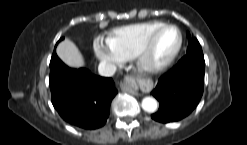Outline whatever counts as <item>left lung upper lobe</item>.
Returning a JSON list of instances; mask_svg holds the SVG:
<instances>
[{
    "label": "left lung upper lobe",
    "mask_w": 247,
    "mask_h": 145,
    "mask_svg": "<svg viewBox=\"0 0 247 145\" xmlns=\"http://www.w3.org/2000/svg\"><path fill=\"white\" fill-rule=\"evenodd\" d=\"M187 37L189 38V44H188V49L187 53L190 52H202V48L196 38L191 39L190 38V33H187Z\"/></svg>",
    "instance_id": "obj_1"
}]
</instances>
